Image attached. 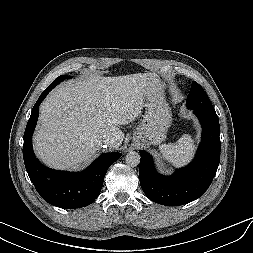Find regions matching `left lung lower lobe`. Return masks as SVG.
<instances>
[{
  "instance_id": "left-lung-lower-lobe-1",
  "label": "left lung lower lobe",
  "mask_w": 253,
  "mask_h": 253,
  "mask_svg": "<svg viewBox=\"0 0 253 253\" xmlns=\"http://www.w3.org/2000/svg\"><path fill=\"white\" fill-rule=\"evenodd\" d=\"M202 125V139L193 162L172 176H162L151 156L140 151V185L146 196L162 205H183L198 199L210 186L220 161V125L215 110L193 109Z\"/></svg>"
}]
</instances>
